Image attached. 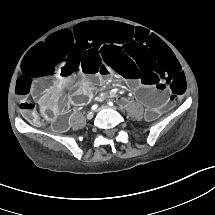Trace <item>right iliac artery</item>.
Here are the masks:
<instances>
[{
	"label": "right iliac artery",
	"mask_w": 215,
	"mask_h": 215,
	"mask_svg": "<svg viewBox=\"0 0 215 215\" xmlns=\"http://www.w3.org/2000/svg\"><path fill=\"white\" fill-rule=\"evenodd\" d=\"M97 108V105H93L92 106V110L96 109Z\"/></svg>",
	"instance_id": "82829eb1"
}]
</instances>
